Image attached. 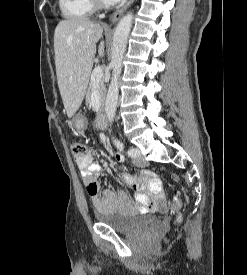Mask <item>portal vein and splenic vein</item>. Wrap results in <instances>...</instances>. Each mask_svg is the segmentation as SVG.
Here are the masks:
<instances>
[{
	"label": "portal vein and splenic vein",
	"mask_w": 247,
	"mask_h": 275,
	"mask_svg": "<svg viewBox=\"0 0 247 275\" xmlns=\"http://www.w3.org/2000/svg\"><path fill=\"white\" fill-rule=\"evenodd\" d=\"M102 78V68L96 67L91 75V81L98 83Z\"/></svg>",
	"instance_id": "obj_1"
}]
</instances>
